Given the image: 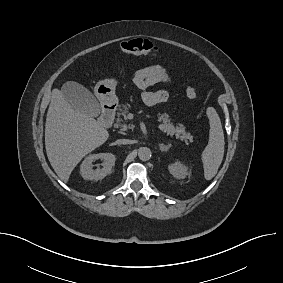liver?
I'll return each instance as SVG.
<instances>
[{
  "label": "liver",
  "instance_id": "1",
  "mask_svg": "<svg viewBox=\"0 0 283 283\" xmlns=\"http://www.w3.org/2000/svg\"><path fill=\"white\" fill-rule=\"evenodd\" d=\"M109 137L92 116L74 110L58 89L52 98L45 124V148L58 177L68 182L75 166Z\"/></svg>",
  "mask_w": 283,
  "mask_h": 283
}]
</instances>
